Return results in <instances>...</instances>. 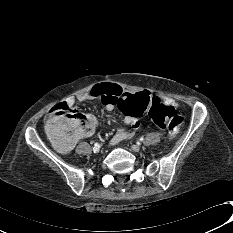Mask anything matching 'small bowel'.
<instances>
[{
    "label": "small bowel",
    "mask_w": 233,
    "mask_h": 233,
    "mask_svg": "<svg viewBox=\"0 0 233 233\" xmlns=\"http://www.w3.org/2000/svg\"><path fill=\"white\" fill-rule=\"evenodd\" d=\"M110 83H112V82H110ZM113 84H116V83H113ZM116 85L120 86L118 84H116ZM93 87L90 89V91L79 94L77 96V99L79 101H81V102H86V101L94 100L93 95H92ZM160 100L166 106H169V105H175V106H177L175 100H173L170 97L161 96ZM62 104H66V105H68V106H70L72 108L75 107V101L73 99H68L65 103H62ZM103 105L109 111H111V110L114 109V106H111L110 104L103 103ZM144 111H142L140 114H142ZM139 115L130 116V115L124 114L123 120H124V123L126 125H128V128H126V129H124V128L118 129V131L116 132V134L114 135V137L112 139V142L114 144H117V143H119V142H121L123 140L129 139L132 136H134V134L136 133V130L139 127V121H138V118H137ZM74 143H75L74 141L69 142V143H64L61 140H55V146H56V148L60 152H63V153L64 152H68L69 150H71L72 147L74 146Z\"/></svg>",
    "instance_id": "obj_1"
}]
</instances>
